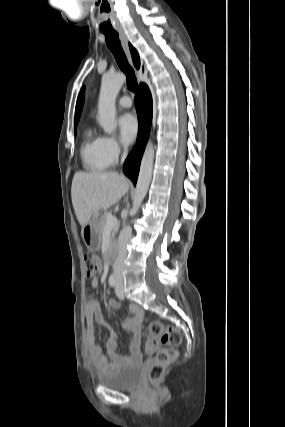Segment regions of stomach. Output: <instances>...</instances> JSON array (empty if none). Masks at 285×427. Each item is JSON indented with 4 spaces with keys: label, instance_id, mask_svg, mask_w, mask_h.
Wrapping results in <instances>:
<instances>
[{
    "label": "stomach",
    "instance_id": "1",
    "mask_svg": "<svg viewBox=\"0 0 285 427\" xmlns=\"http://www.w3.org/2000/svg\"><path fill=\"white\" fill-rule=\"evenodd\" d=\"M98 217L99 214L97 212L94 213L92 220L82 228L81 232L82 238L90 250H97L101 243V233L98 229Z\"/></svg>",
    "mask_w": 285,
    "mask_h": 427
}]
</instances>
